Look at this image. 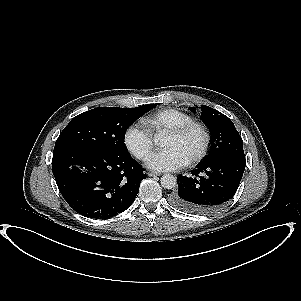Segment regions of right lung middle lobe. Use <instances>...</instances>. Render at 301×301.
I'll use <instances>...</instances> for the list:
<instances>
[{"mask_svg": "<svg viewBox=\"0 0 301 301\" xmlns=\"http://www.w3.org/2000/svg\"><path fill=\"white\" fill-rule=\"evenodd\" d=\"M155 106L148 104L136 108L100 107L79 114L60 133L53 153L77 147L127 153L124 144L127 128Z\"/></svg>", "mask_w": 301, "mask_h": 301, "instance_id": "right-lung-middle-lobe-1", "label": "right lung middle lobe"}]
</instances>
